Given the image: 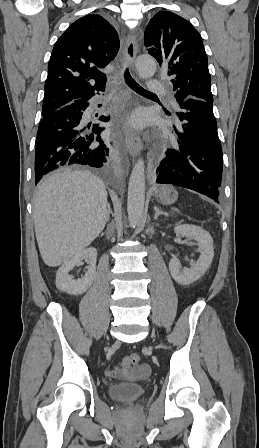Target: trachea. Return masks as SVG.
Masks as SVG:
<instances>
[{
  "mask_svg": "<svg viewBox=\"0 0 259 448\" xmlns=\"http://www.w3.org/2000/svg\"><path fill=\"white\" fill-rule=\"evenodd\" d=\"M124 79L126 84L132 88V90H134L137 93H152L149 92L148 90H145V88H142L130 75L128 68H126L125 72H124Z\"/></svg>",
  "mask_w": 259,
  "mask_h": 448,
  "instance_id": "trachea-1",
  "label": "trachea"
}]
</instances>
